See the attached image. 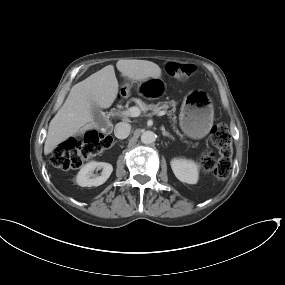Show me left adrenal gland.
<instances>
[{
	"label": "left adrenal gland",
	"instance_id": "a2214340",
	"mask_svg": "<svg viewBox=\"0 0 285 285\" xmlns=\"http://www.w3.org/2000/svg\"><path fill=\"white\" fill-rule=\"evenodd\" d=\"M162 135L167 136V137L171 138L172 140H174V137L169 132H167L165 130L162 131Z\"/></svg>",
	"mask_w": 285,
	"mask_h": 285
}]
</instances>
